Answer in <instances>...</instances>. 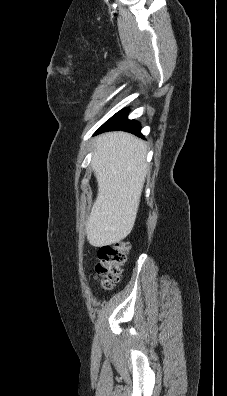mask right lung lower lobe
Segmentation results:
<instances>
[{
  "mask_svg": "<svg viewBox=\"0 0 227 396\" xmlns=\"http://www.w3.org/2000/svg\"><path fill=\"white\" fill-rule=\"evenodd\" d=\"M128 109H124L116 113L109 120H107L97 131L96 134L105 131L123 130L142 136L140 133V124L135 120L127 119Z\"/></svg>",
  "mask_w": 227,
  "mask_h": 396,
  "instance_id": "1",
  "label": "right lung lower lobe"
}]
</instances>
